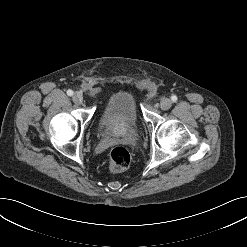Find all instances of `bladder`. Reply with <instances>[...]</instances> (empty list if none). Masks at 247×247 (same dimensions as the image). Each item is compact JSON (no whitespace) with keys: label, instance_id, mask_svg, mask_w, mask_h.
<instances>
[{"label":"bladder","instance_id":"31cf9c89","mask_svg":"<svg viewBox=\"0 0 247 247\" xmlns=\"http://www.w3.org/2000/svg\"><path fill=\"white\" fill-rule=\"evenodd\" d=\"M138 124L135 99L130 92L119 91L113 94L101 114L99 125L107 133L128 131Z\"/></svg>","mask_w":247,"mask_h":247}]
</instances>
